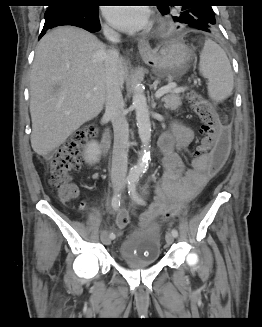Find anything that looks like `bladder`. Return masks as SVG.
Masks as SVG:
<instances>
[{
  "label": "bladder",
  "instance_id": "bladder-1",
  "mask_svg": "<svg viewBox=\"0 0 262 327\" xmlns=\"http://www.w3.org/2000/svg\"><path fill=\"white\" fill-rule=\"evenodd\" d=\"M161 239L159 231H134L119 246V259L127 264L137 260L155 264L161 259Z\"/></svg>",
  "mask_w": 262,
  "mask_h": 327
}]
</instances>
